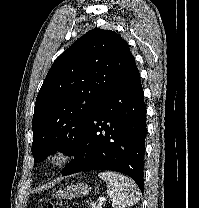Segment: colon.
Segmentation results:
<instances>
[{"label": "colon", "mask_w": 199, "mask_h": 208, "mask_svg": "<svg viewBox=\"0 0 199 208\" xmlns=\"http://www.w3.org/2000/svg\"><path fill=\"white\" fill-rule=\"evenodd\" d=\"M47 208H64V202L57 201L55 203H51L47 206Z\"/></svg>", "instance_id": "5ec220e1"}]
</instances>
